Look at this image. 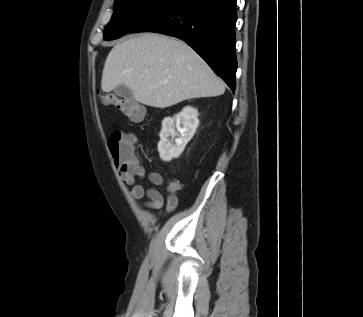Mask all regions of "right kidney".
Segmentation results:
<instances>
[{
  "label": "right kidney",
  "mask_w": 363,
  "mask_h": 317,
  "mask_svg": "<svg viewBox=\"0 0 363 317\" xmlns=\"http://www.w3.org/2000/svg\"><path fill=\"white\" fill-rule=\"evenodd\" d=\"M198 125V111L191 106L184 107L173 117L164 118L158 143L160 158L166 162L178 158L194 136Z\"/></svg>",
  "instance_id": "1"
}]
</instances>
